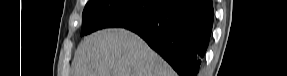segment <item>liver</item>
Segmentation results:
<instances>
[{
	"label": "liver",
	"instance_id": "1",
	"mask_svg": "<svg viewBox=\"0 0 287 76\" xmlns=\"http://www.w3.org/2000/svg\"><path fill=\"white\" fill-rule=\"evenodd\" d=\"M73 76H176L138 35L105 29L85 37L72 61Z\"/></svg>",
	"mask_w": 287,
	"mask_h": 76
}]
</instances>
